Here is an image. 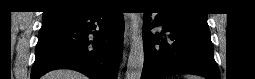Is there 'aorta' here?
Returning a JSON list of instances; mask_svg holds the SVG:
<instances>
[{
  "mask_svg": "<svg viewBox=\"0 0 255 79\" xmlns=\"http://www.w3.org/2000/svg\"><path fill=\"white\" fill-rule=\"evenodd\" d=\"M132 19L134 25V35L128 57L126 79H140L144 64V46L139 30L141 18L137 13H134L132 15Z\"/></svg>",
  "mask_w": 255,
  "mask_h": 79,
  "instance_id": "1",
  "label": "aorta"
}]
</instances>
